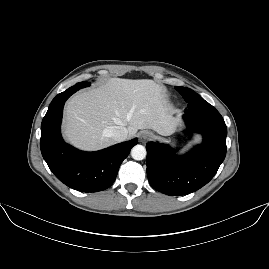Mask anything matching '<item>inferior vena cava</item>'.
<instances>
[{
  "label": "inferior vena cava",
  "mask_w": 269,
  "mask_h": 269,
  "mask_svg": "<svg viewBox=\"0 0 269 269\" xmlns=\"http://www.w3.org/2000/svg\"><path fill=\"white\" fill-rule=\"evenodd\" d=\"M108 131L110 133V137L115 142H122L126 140L127 135H128V130L125 127H121V126L110 127L108 128Z\"/></svg>",
  "instance_id": "obj_1"
}]
</instances>
